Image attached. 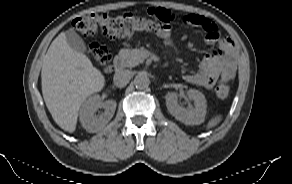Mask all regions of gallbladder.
<instances>
[{"label": "gallbladder", "instance_id": "obj_1", "mask_svg": "<svg viewBox=\"0 0 292 184\" xmlns=\"http://www.w3.org/2000/svg\"><path fill=\"white\" fill-rule=\"evenodd\" d=\"M65 36L68 45L72 49L81 53H84L86 51V45L83 39L73 29L67 30L65 32Z\"/></svg>", "mask_w": 292, "mask_h": 184}]
</instances>
